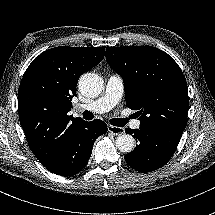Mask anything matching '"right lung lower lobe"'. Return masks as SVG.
<instances>
[{"label":"right lung lower lobe","instance_id":"right-lung-lower-lobe-1","mask_svg":"<svg viewBox=\"0 0 215 215\" xmlns=\"http://www.w3.org/2000/svg\"><path fill=\"white\" fill-rule=\"evenodd\" d=\"M107 132L104 121H83L68 133L63 145L48 161L46 169L61 176H73L88 163L96 138Z\"/></svg>","mask_w":215,"mask_h":215}]
</instances>
